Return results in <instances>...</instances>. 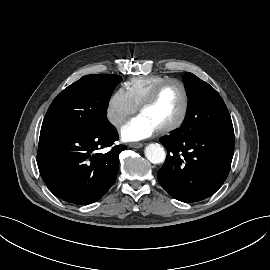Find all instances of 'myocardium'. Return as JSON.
Segmentation results:
<instances>
[{"instance_id": "obj_1", "label": "myocardium", "mask_w": 270, "mask_h": 270, "mask_svg": "<svg viewBox=\"0 0 270 270\" xmlns=\"http://www.w3.org/2000/svg\"><path fill=\"white\" fill-rule=\"evenodd\" d=\"M170 84H176L181 88L183 94V108L179 118L175 122L158 129V132L161 134L176 131L177 129L182 127L183 124L185 123L190 107V98L186 85L181 80L178 79L174 78L167 79L156 85L150 92V94L147 96V98L139 106V112L141 113L144 109L150 107L156 101L161 91Z\"/></svg>"}]
</instances>
